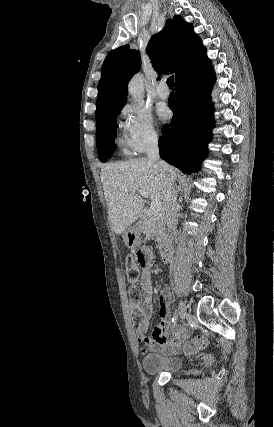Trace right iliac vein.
I'll use <instances>...</instances> for the list:
<instances>
[{
  "label": "right iliac vein",
  "instance_id": "63e3f726",
  "mask_svg": "<svg viewBox=\"0 0 274 427\" xmlns=\"http://www.w3.org/2000/svg\"><path fill=\"white\" fill-rule=\"evenodd\" d=\"M178 309H179V316H180V318L182 320H184L187 317V311H186V306L184 305L183 302L179 303Z\"/></svg>",
  "mask_w": 274,
  "mask_h": 427
}]
</instances>
